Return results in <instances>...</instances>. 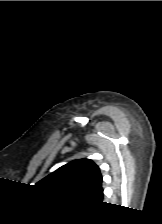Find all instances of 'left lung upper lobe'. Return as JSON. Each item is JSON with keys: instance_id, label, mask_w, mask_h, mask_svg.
I'll use <instances>...</instances> for the list:
<instances>
[{"instance_id": "1", "label": "left lung upper lobe", "mask_w": 162, "mask_h": 224, "mask_svg": "<svg viewBox=\"0 0 162 224\" xmlns=\"http://www.w3.org/2000/svg\"><path fill=\"white\" fill-rule=\"evenodd\" d=\"M101 185L100 169L90 159L71 161L36 184L43 190L80 199H91Z\"/></svg>"}]
</instances>
